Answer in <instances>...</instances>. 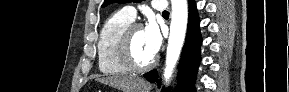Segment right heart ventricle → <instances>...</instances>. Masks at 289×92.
<instances>
[{"mask_svg":"<svg viewBox=\"0 0 289 92\" xmlns=\"http://www.w3.org/2000/svg\"><path fill=\"white\" fill-rule=\"evenodd\" d=\"M132 23L121 11L109 16L101 27L97 41L98 67L105 75H125L130 72L119 60L117 42L122 31Z\"/></svg>","mask_w":289,"mask_h":92,"instance_id":"obj_1","label":"right heart ventricle"}]
</instances>
